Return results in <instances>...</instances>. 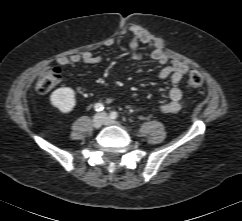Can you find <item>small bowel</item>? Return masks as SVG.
Listing matches in <instances>:
<instances>
[{
	"mask_svg": "<svg viewBox=\"0 0 242 221\" xmlns=\"http://www.w3.org/2000/svg\"><path fill=\"white\" fill-rule=\"evenodd\" d=\"M130 32L133 34L128 46L130 56L134 60L142 59L144 56V50L141 45H146L151 58L162 66L158 73V79L165 80L169 78L173 84H178L188 72V67L180 61H170L166 53L153 43L151 36L147 32L139 29H131ZM106 45L112 46L113 41H107ZM102 59V56H97L92 52L85 51L81 54L60 57L57 59V63L61 66H75L81 62L85 64H98ZM182 97V91L180 88L176 86L172 87L168 93V100L159 108L160 112L164 114L178 112L183 106ZM106 101L107 103H110L112 102V98L108 97Z\"/></svg>",
	"mask_w": 242,
	"mask_h": 221,
	"instance_id": "c3829d8e",
	"label": "small bowel"
}]
</instances>
